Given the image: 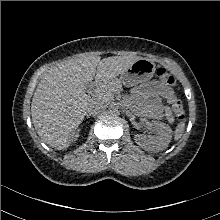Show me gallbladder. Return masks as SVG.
Segmentation results:
<instances>
[{
  "label": "gallbladder",
  "instance_id": "obj_1",
  "mask_svg": "<svg viewBox=\"0 0 220 220\" xmlns=\"http://www.w3.org/2000/svg\"><path fill=\"white\" fill-rule=\"evenodd\" d=\"M89 90H90V85L87 84V85H86V91H89Z\"/></svg>",
  "mask_w": 220,
  "mask_h": 220
}]
</instances>
